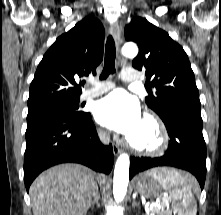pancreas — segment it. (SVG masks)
I'll use <instances>...</instances> for the list:
<instances>
[{
	"label": "pancreas",
	"instance_id": "pancreas-1",
	"mask_svg": "<svg viewBox=\"0 0 221 215\" xmlns=\"http://www.w3.org/2000/svg\"><path fill=\"white\" fill-rule=\"evenodd\" d=\"M164 204L162 203V208L159 209V208H154L152 210V213L151 215H172V212L170 210H165L164 208Z\"/></svg>",
	"mask_w": 221,
	"mask_h": 215
}]
</instances>
